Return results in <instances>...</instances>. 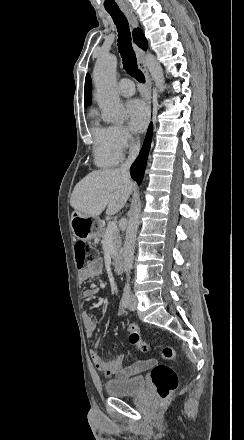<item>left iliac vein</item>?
Here are the masks:
<instances>
[{
    "mask_svg": "<svg viewBox=\"0 0 244 440\" xmlns=\"http://www.w3.org/2000/svg\"><path fill=\"white\" fill-rule=\"evenodd\" d=\"M129 300H130L129 301V305H128L129 310H131V311L136 310V308H137V299H136V297L134 295H131Z\"/></svg>",
    "mask_w": 244,
    "mask_h": 440,
    "instance_id": "left-iliac-vein-1",
    "label": "left iliac vein"
}]
</instances>
